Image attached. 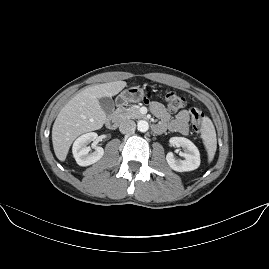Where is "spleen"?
<instances>
[{"mask_svg": "<svg viewBox=\"0 0 269 269\" xmlns=\"http://www.w3.org/2000/svg\"><path fill=\"white\" fill-rule=\"evenodd\" d=\"M202 132L209 151V157L212 159L216 150V134L214 126L208 118H205L202 122Z\"/></svg>", "mask_w": 269, "mask_h": 269, "instance_id": "spleen-1", "label": "spleen"}]
</instances>
